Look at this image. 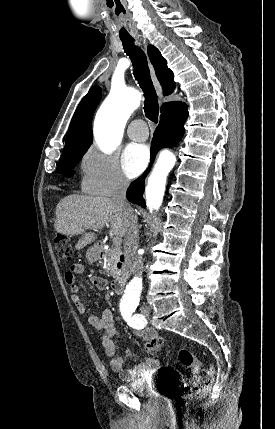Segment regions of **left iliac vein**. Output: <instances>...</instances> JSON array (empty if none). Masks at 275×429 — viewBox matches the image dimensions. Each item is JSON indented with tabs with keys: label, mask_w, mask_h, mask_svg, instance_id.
I'll use <instances>...</instances> for the list:
<instances>
[{
	"label": "left iliac vein",
	"mask_w": 275,
	"mask_h": 429,
	"mask_svg": "<svg viewBox=\"0 0 275 429\" xmlns=\"http://www.w3.org/2000/svg\"><path fill=\"white\" fill-rule=\"evenodd\" d=\"M141 311L144 316H148L150 314V308L148 306H143Z\"/></svg>",
	"instance_id": "4c4485c4"
}]
</instances>
